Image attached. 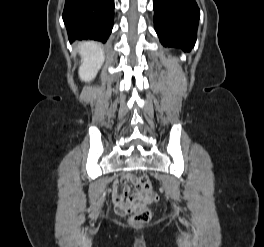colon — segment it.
<instances>
[{"label": "colon", "instance_id": "1", "mask_svg": "<svg viewBox=\"0 0 264 247\" xmlns=\"http://www.w3.org/2000/svg\"><path fill=\"white\" fill-rule=\"evenodd\" d=\"M131 182L136 191L145 194L146 197H126L119 202L117 208L122 214L131 215L130 221L133 224L148 223L151 219V210L147 207V202L154 198L151 182L145 175L133 176Z\"/></svg>", "mask_w": 264, "mask_h": 247}]
</instances>
